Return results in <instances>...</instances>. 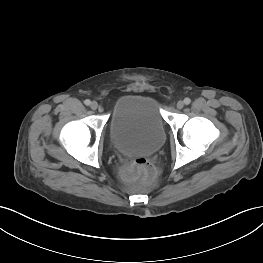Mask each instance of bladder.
<instances>
[{
	"mask_svg": "<svg viewBox=\"0 0 263 263\" xmlns=\"http://www.w3.org/2000/svg\"><path fill=\"white\" fill-rule=\"evenodd\" d=\"M108 136L113 147L126 156H149L158 152L166 139L158 102L135 94L118 98L110 114Z\"/></svg>",
	"mask_w": 263,
	"mask_h": 263,
	"instance_id": "1",
	"label": "bladder"
}]
</instances>
